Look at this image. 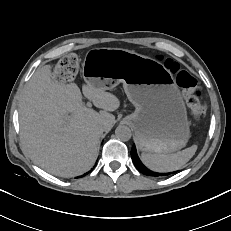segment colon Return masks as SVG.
<instances>
[{
	"mask_svg": "<svg viewBox=\"0 0 231 231\" xmlns=\"http://www.w3.org/2000/svg\"><path fill=\"white\" fill-rule=\"evenodd\" d=\"M165 66L176 75L177 84L184 90L191 119L194 122H199L204 114L205 102L196 79L191 73L181 69L180 65L172 59H166ZM78 69L77 58L74 55H67L56 63L54 71L57 76L69 80L77 74Z\"/></svg>",
	"mask_w": 231,
	"mask_h": 231,
	"instance_id": "1",
	"label": "colon"
}]
</instances>
